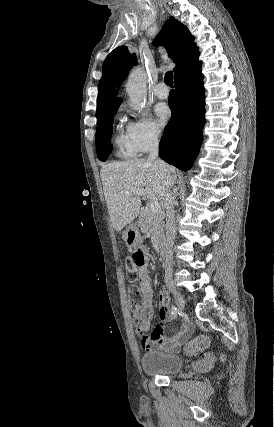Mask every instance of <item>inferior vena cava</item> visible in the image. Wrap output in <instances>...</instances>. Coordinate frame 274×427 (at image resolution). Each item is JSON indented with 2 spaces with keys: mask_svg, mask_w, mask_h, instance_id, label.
Wrapping results in <instances>:
<instances>
[{
  "mask_svg": "<svg viewBox=\"0 0 274 427\" xmlns=\"http://www.w3.org/2000/svg\"><path fill=\"white\" fill-rule=\"evenodd\" d=\"M148 150H149L148 160H150V162L151 160H156V158H158V136H151V138H149ZM172 184H174V182H168V186L166 188V192L164 196V202L166 206L165 247L167 251H170L174 243L175 231H176L175 200H174V194L171 190ZM166 263H172L171 259H166Z\"/></svg>",
  "mask_w": 274,
  "mask_h": 427,
  "instance_id": "602c4592",
  "label": "inferior vena cava"
}]
</instances>
